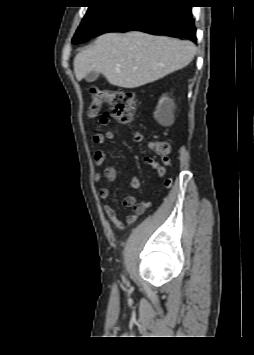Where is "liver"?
Returning <instances> with one entry per match:
<instances>
[{
	"mask_svg": "<svg viewBox=\"0 0 254 355\" xmlns=\"http://www.w3.org/2000/svg\"><path fill=\"white\" fill-rule=\"evenodd\" d=\"M195 54L196 46L188 40L137 31L107 33L77 54L73 65L78 81L95 71L111 85L136 88L186 67Z\"/></svg>",
	"mask_w": 254,
	"mask_h": 355,
	"instance_id": "obj_1",
	"label": "liver"
}]
</instances>
